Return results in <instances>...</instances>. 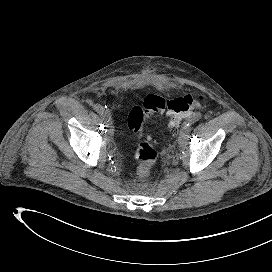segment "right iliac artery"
I'll return each mask as SVG.
<instances>
[{
	"instance_id": "82829eb1",
	"label": "right iliac artery",
	"mask_w": 272,
	"mask_h": 272,
	"mask_svg": "<svg viewBox=\"0 0 272 272\" xmlns=\"http://www.w3.org/2000/svg\"><path fill=\"white\" fill-rule=\"evenodd\" d=\"M93 109L97 112V113H99V114H103L104 113V108L100 105V104H94L93 105Z\"/></svg>"
}]
</instances>
